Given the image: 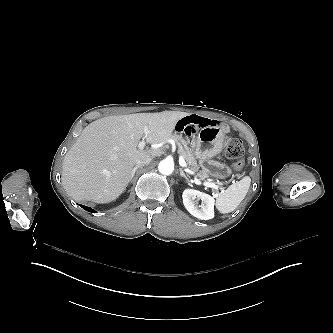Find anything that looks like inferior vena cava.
Here are the masks:
<instances>
[{
  "label": "inferior vena cava",
  "mask_w": 333,
  "mask_h": 333,
  "mask_svg": "<svg viewBox=\"0 0 333 333\" xmlns=\"http://www.w3.org/2000/svg\"><path fill=\"white\" fill-rule=\"evenodd\" d=\"M152 158L147 156L136 162V166L148 165L151 162Z\"/></svg>",
  "instance_id": "obj_1"
}]
</instances>
